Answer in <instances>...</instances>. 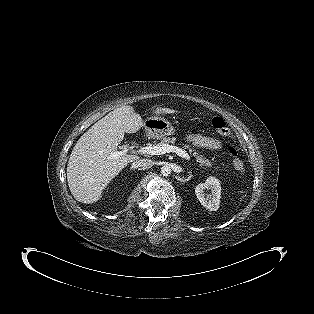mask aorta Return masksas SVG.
<instances>
[{"label":"aorta","instance_id":"obj_1","mask_svg":"<svg viewBox=\"0 0 314 314\" xmlns=\"http://www.w3.org/2000/svg\"><path fill=\"white\" fill-rule=\"evenodd\" d=\"M161 174L163 176H169L171 174V168L169 165H164L161 167Z\"/></svg>","mask_w":314,"mask_h":314}]
</instances>
